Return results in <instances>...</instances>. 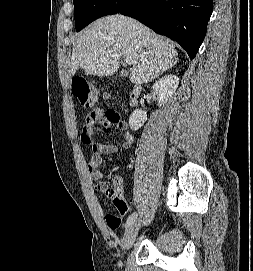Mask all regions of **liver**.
<instances>
[{"mask_svg":"<svg viewBox=\"0 0 253 271\" xmlns=\"http://www.w3.org/2000/svg\"><path fill=\"white\" fill-rule=\"evenodd\" d=\"M130 59V81L149 83L178 62V52L140 22L110 15L93 22L73 43L70 75L83 69L86 75L111 76L119 69L120 58Z\"/></svg>","mask_w":253,"mask_h":271,"instance_id":"obj_1","label":"liver"}]
</instances>
